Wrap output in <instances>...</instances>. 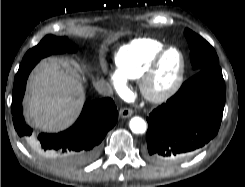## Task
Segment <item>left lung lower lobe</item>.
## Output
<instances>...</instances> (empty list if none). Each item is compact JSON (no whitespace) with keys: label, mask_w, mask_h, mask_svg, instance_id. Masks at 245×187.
Listing matches in <instances>:
<instances>
[{"label":"left lung lower lobe","mask_w":245,"mask_h":187,"mask_svg":"<svg viewBox=\"0 0 245 187\" xmlns=\"http://www.w3.org/2000/svg\"><path fill=\"white\" fill-rule=\"evenodd\" d=\"M224 105L219 65L198 71L147 117V157L171 163L192 155L218 133Z\"/></svg>","instance_id":"obj_1"}]
</instances>
